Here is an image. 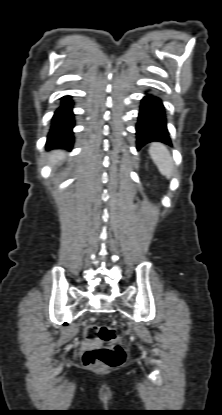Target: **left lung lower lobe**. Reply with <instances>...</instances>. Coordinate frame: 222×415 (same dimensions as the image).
<instances>
[{
  "label": "left lung lower lobe",
  "mask_w": 222,
  "mask_h": 415,
  "mask_svg": "<svg viewBox=\"0 0 222 415\" xmlns=\"http://www.w3.org/2000/svg\"><path fill=\"white\" fill-rule=\"evenodd\" d=\"M136 137L137 149L152 141L171 144L164 106L158 97L146 94L142 99L136 126Z\"/></svg>",
  "instance_id": "obj_1"
}]
</instances>
